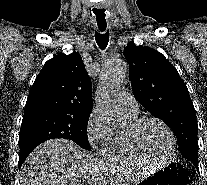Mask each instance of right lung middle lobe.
Here are the masks:
<instances>
[{
	"label": "right lung middle lobe",
	"mask_w": 207,
	"mask_h": 185,
	"mask_svg": "<svg viewBox=\"0 0 207 185\" xmlns=\"http://www.w3.org/2000/svg\"><path fill=\"white\" fill-rule=\"evenodd\" d=\"M89 116L51 111L25 112L19 133V167L36 146L49 139H69L81 148L91 150L87 136Z\"/></svg>",
	"instance_id": "right-lung-middle-lobe-1"
}]
</instances>
